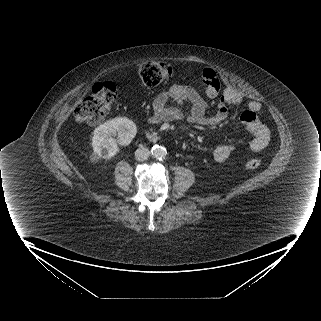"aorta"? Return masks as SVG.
<instances>
[{
    "mask_svg": "<svg viewBox=\"0 0 321 321\" xmlns=\"http://www.w3.org/2000/svg\"><path fill=\"white\" fill-rule=\"evenodd\" d=\"M151 154L156 159H163L167 155L166 148L160 145H154L151 149Z\"/></svg>",
    "mask_w": 321,
    "mask_h": 321,
    "instance_id": "obj_1",
    "label": "aorta"
}]
</instances>
